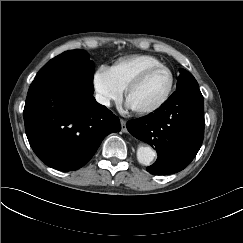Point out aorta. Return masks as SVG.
I'll return each mask as SVG.
<instances>
[{"instance_id": "1", "label": "aorta", "mask_w": 243, "mask_h": 243, "mask_svg": "<svg viewBox=\"0 0 243 243\" xmlns=\"http://www.w3.org/2000/svg\"><path fill=\"white\" fill-rule=\"evenodd\" d=\"M155 157L153 149L149 146H140L137 149V159L143 165H149Z\"/></svg>"}]
</instances>
